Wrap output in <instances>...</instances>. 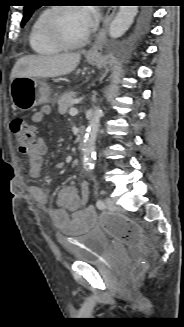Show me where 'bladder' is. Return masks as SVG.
I'll use <instances>...</instances> for the list:
<instances>
[{
	"label": "bladder",
	"instance_id": "obj_1",
	"mask_svg": "<svg viewBox=\"0 0 184 327\" xmlns=\"http://www.w3.org/2000/svg\"><path fill=\"white\" fill-rule=\"evenodd\" d=\"M111 249L110 239L99 229L77 237L76 243L66 245L67 252L76 262L98 264Z\"/></svg>",
	"mask_w": 184,
	"mask_h": 327
}]
</instances>
